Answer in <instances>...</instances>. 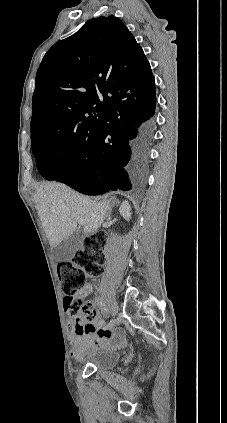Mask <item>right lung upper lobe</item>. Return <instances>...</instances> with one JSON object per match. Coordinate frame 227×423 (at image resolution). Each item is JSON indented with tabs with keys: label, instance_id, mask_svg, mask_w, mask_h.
Returning <instances> with one entry per match:
<instances>
[{
	"label": "right lung upper lobe",
	"instance_id": "1",
	"mask_svg": "<svg viewBox=\"0 0 227 423\" xmlns=\"http://www.w3.org/2000/svg\"><path fill=\"white\" fill-rule=\"evenodd\" d=\"M154 91L150 64L123 22L113 15L88 20L43 57L32 99V143L48 136L95 138L110 105Z\"/></svg>",
	"mask_w": 227,
	"mask_h": 423
}]
</instances>
